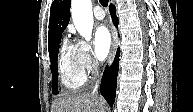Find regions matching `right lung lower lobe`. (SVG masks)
<instances>
[{
	"instance_id": "1",
	"label": "right lung lower lobe",
	"mask_w": 193,
	"mask_h": 112,
	"mask_svg": "<svg viewBox=\"0 0 193 112\" xmlns=\"http://www.w3.org/2000/svg\"><path fill=\"white\" fill-rule=\"evenodd\" d=\"M110 13L115 26L118 25V18L115 15V6L110 5ZM119 54L120 49L117 50L114 63L110 68L106 67L104 76L101 82V94L104 96L109 105H113L115 101V93L117 86V74L119 68Z\"/></svg>"
}]
</instances>
